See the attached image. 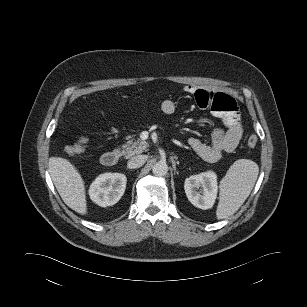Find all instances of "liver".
Here are the masks:
<instances>
[{
    "instance_id": "6515ba94",
    "label": "liver",
    "mask_w": 307,
    "mask_h": 307,
    "mask_svg": "<svg viewBox=\"0 0 307 307\" xmlns=\"http://www.w3.org/2000/svg\"><path fill=\"white\" fill-rule=\"evenodd\" d=\"M49 173L64 203L81 215L87 214L84 181L75 166L65 158L51 157Z\"/></svg>"
}]
</instances>
